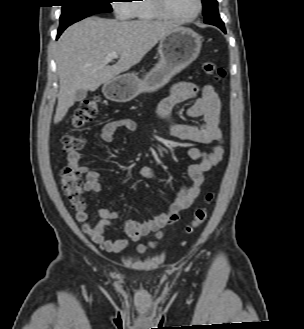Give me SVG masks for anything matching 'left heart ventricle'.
<instances>
[{
    "label": "left heart ventricle",
    "instance_id": "b2bd125f",
    "mask_svg": "<svg viewBox=\"0 0 304 329\" xmlns=\"http://www.w3.org/2000/svg\"><path fill=\"white\" fill-rule=\"evenodd\" d=\"M170 11L178 16L193 15L197 8V0H167Z\"/></svg>",
    "mask_w": 304,
    "mask_h": 329
}]
</instances>
